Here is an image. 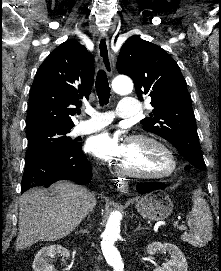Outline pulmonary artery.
I'll return each mask as SVG.
<instances>
[{"instance_id":"1","label":"pulmonary artery","mask_w":221,"mask_h":271,"mask_svg":"<svg viewBox=\"0 0 221 271\" xmlns=\"http://www.w3.org/2000/svg\"><path fill=\"white\" fill-rule=\"evenodd\" d=\"M121 107H117V112L120 117H137V112H142L141 102H138V98H122L120 103ZM111 116V113L104 112H91V117L88 118V121L83 124L86 126H97L93 128H86L80 126L78 132L82 135H86L98 130L103 129L107 126L108 122H114V117H104ZM117 120V119H116Z\"/></svg>"}]
</instances>
